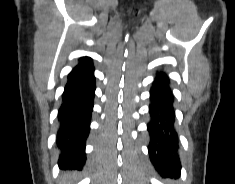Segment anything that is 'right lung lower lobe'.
Wrapping results in <instances>:
<instances>
[{"label":"right lung lower lobe","instance_id":"obj_1","mask_svg":"<svg viewBox=\"0 0 235 184\" xmlns=\"http://www.w3.org/2000/svg\"><path fill=\"white\" fill-rule=\"evenodd\" d=\"M67 79L58 115L59 165L62 168H81L86 160L85 144L95 96L92 59L80 58Z\"/></svg>","mask_w":235,"mask_h":184}]
</instances>
